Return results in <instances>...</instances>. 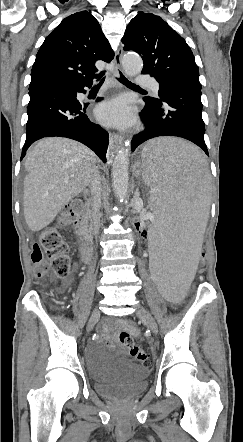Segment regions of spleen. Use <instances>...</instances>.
Wrapping results in <instances>:
<instances>
[{
	"instance_id": "1",
	"label": "spleen",
	"mask_w": 243,
	"mask_h": 442,
	"mask_svg": "<svg viewBox=\"0 0 243 442\" xmlns=\"http://www.w3.org/2000/svg\"><path fill=\"white\" fill-rule=\"evenodd\" d=\"M135 176L146 184L152 214V230L146 252L154 291L165 302L176 304L187 296L200 241L209 217L208 170L203 153L177 138H160L147 143L139 155ZM169 192V193H163Z\"/></svg>"
}]
</instances>
